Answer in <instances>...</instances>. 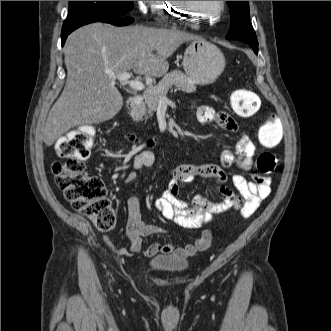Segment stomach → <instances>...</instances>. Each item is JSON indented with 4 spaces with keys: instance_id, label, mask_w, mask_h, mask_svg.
<instances>
[{
    "instance_id": "stomach-1",
    "label": "stomach",
    "mask_w": 331,
    "mask_h": 331,
    "mask_svg": "<svg viewBox=\"0 0 331 331\" xmlns=\"http://www.w3.org/2000/svg\"><path fill=\"white\" fill-rule=\"evenodd\" d=\"M182 65L192 81L205 85L214 82L223 72L225 58L216 45L198 39L186 48Z\"/></svg>"
}]
</instances>
